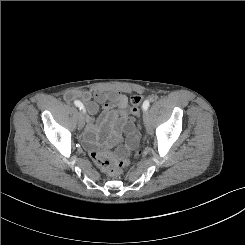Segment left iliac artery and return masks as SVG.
<instances>
[{"label":"left iliac artery","mask_w":245,"mask_h":245,"mask_svg":"<svg viewBox=\"0 0 245 245\" xmlns=\"http://www.w3.org/2000/svg\"><path fill=\"white\" fill-rule=\"evenodd\" d=\"M149 106H150L149 100H145L143 102L142 108H143L144 111H146L149 108Z\"/></svg>","instance_id":"left-iliac-artery-1"}]
</instances>
